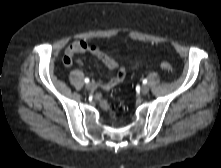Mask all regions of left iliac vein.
Listing matches in <instances>:
<instances>
[{
	"label": "left iliac vein",
	"instance_id": "obj_1",
	"mask_svg": "<svg viewBox=\"0 0 221 168\" xmlns=\"http://www.w3.org/2000/svg\"><path fill=\"white\" fill-rule=\"evenodd\" d=\"M148 92H149V86H147V85L142 86L141 93L147 94Z\"/></svg>",
	"mask_w": 221,
	"mask_h": 168
}]
</instances>
